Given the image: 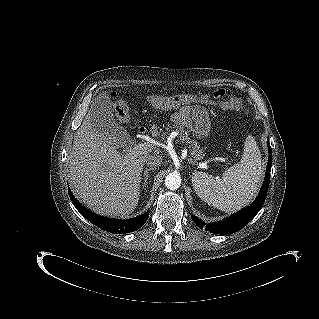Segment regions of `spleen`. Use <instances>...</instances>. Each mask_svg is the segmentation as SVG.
Wrapping results in <instances>:
<instances>
[{
    "label": "spleen",
    "mask_w": 319,
    "mask_h": 319,
    "mask_svg": "<svg viewBox=\"0 0 319 319\" xmlns=\"http://www.w3.org/2000/svg\"><path fill=\"white\" fill-rule=\"evenodd\" d=\"M262 177L261 153L254 137L249 135L239 163L231 166L221 177L195 172L192 184L196 194L208 205L232 213L251 201Z\"/></svg>",
    "instance_id": "spleen-1"
}]
</instances>
